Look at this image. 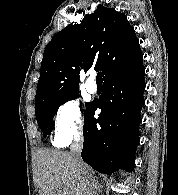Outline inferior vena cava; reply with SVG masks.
Listing matches in <instances>:
<instances>
[{
	"label": "inferior vena cava",
	"instance_id": "obj_1",
	"mask_svg": "<svg viewBox=\"0 0 178 195\" xmlns=\"http://www.w3.org/2000/svg\"><path fill=\"white\" fill-rule=\"evenodd\" d=\"M82 146H83V140L80 137H77L74 139V143L72 145V154L75 157V161L77 163V165L83 168V162L81 159V151H82ZM92 195H98V188L97 185H93V189H92Z\"/></svg>",
	"mask_w": 178,
	"mask_h": 195
}]
</instances>
